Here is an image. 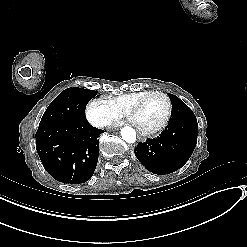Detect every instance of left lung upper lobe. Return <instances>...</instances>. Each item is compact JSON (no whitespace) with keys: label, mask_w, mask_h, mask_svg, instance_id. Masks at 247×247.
I'll return each instance as SVG.
<instances>
[{"label":"left lung upper lobe","mask_w":247,"mask_h":247,"mask_svg":"<svg viewBox=\"0 0 247 247\" xmlns=\"http://www.w3.org/2000/svg\"><path fill=\"white\" fill-rule=\"evenodd\" d=\"M169 96L173 105L171 119H175L178 117H185V116H195L193 111L177 96L172 94H169Z\"/></svg>","instance_id":"5c2ea615"}]
</instances>
